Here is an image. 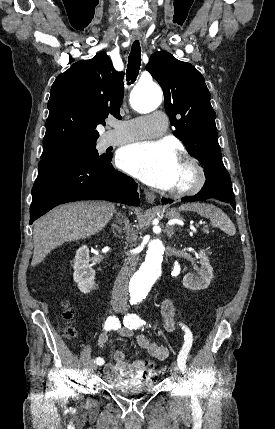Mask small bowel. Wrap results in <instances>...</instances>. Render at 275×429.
<instances>
[{"mask_svg": "<svg viewBox=\"0 0 275 429\" xmlns=\"http://www.w3.org/2000/svg\"><path fill=\"white\" fill-rule=\"evenodd\" d=\"M161 313L165 321V328L167 331H173L175 329V308L171 300L166 299L162 303ZM117 333L123 337H131L133 330L122 327L117 329ZM109 339V333L104 332L100 335L98 345L103 348ZM137 344L146 351V353L156 360H165L168 357V349L155 342H151L147 337L140 335L137 337ZM114 363L105 365V373L112 378H116L117 375L123 377H138L146 368L148 362L145 360H136L133 363H128L125 359V355L122 351H116L114 353Z\"/></svg>", "mask_w": 275, "mask_h": 429, "instance_id": "1", "label": "small bowel"}]
</instances>
